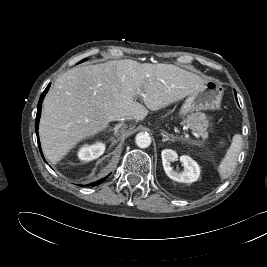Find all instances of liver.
Listing matches in <instances>:
<instances>
[{"instance_id": "liver-1", "label": "liver", "mask_w": 267, "mask_h": 267, "mask_svg": "<svg viewBox=\"0 0 267 267\" xmlns=\"http://www.w3.org/2000/svg\"><path fill=\"white\" fill-rule=\"evenodd\" d=\"M206 82L172 64L130 59L72 68L56 79L44 98L39 125L42 150L55 164L111 121L127 117L141 121L147 108H164ZM138 95L146 107L135 100Z\"/></svg>"}]
</instances>
